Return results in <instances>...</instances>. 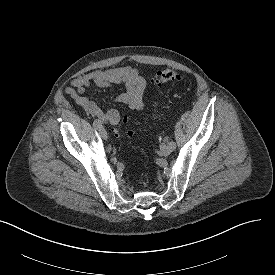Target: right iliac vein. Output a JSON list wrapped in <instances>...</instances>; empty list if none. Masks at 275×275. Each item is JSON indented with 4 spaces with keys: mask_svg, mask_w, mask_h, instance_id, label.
I'll return each instance as SVG.
<instances>
[{
    "mask_svg": "<svg viewBox=\"0 0 275 275\" xmlns=\"http://www.w3.org/2000/svg\"><path fill=\"white\" fill-rule=\"evenodd\" d=\"M98 131H99L100 136H101L103 139L106 140V139H107V132H106L105 128L102 127V126H100V127L98 128Z\"/></svg>",
    "mask_w": 275,
    "mask_h": 275,
    "instance_id": "63e3f726",
    "label": "right iliac vein"
}]
</instances>
